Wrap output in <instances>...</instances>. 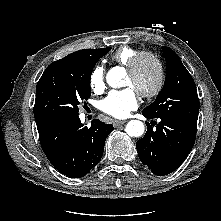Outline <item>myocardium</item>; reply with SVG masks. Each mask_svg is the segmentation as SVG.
<instances>
[{
    "label": "myocardium",
    "instance_id": "obj_1",
    "mask_svg": "<svg viewBox=\"0 0 221 221\" xmlns=\"http://www.w3.org/2000/svg\"><path fill=\"white\" fill-rule=\"evenodd\" d=\"M144 59L151 60L156 66L158 73L154 87L148 91L139 92V95L142 96L143 98L150 99L157 96L163 88L165 82V68L162 60L159 58L158 55H156L151 51H140L132 58L130 64L127 66L128 73L130 75L135 74L140 66V63Z\"/></svg>",
    "mask_w": 221,
    "mask_h": 221
}]
</instances>
